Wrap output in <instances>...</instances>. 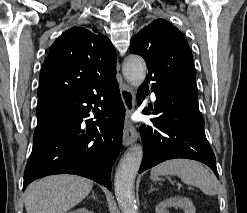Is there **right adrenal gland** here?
<instances>
[{"label": "right adrenal gland", "instance_id": "obj_1", "mask_svg": "<svg viewBox=\"0 0 247 213\" xmlns=\"http://www.w3.org/2000/svg\"><path fill=\"white\" fill-rule=\"evenodd\" d=\"M91 198H93V199H96V200H97V198H96V196H95L94 191L92 192Z\"/></svg>", "mask_w": 247, "mask_h": 213}]
</instances>
